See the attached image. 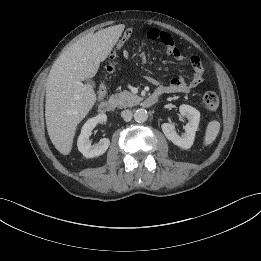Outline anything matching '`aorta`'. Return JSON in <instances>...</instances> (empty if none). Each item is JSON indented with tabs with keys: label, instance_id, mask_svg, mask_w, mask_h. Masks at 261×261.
Here are the masks:
<instances>
[{
	"label": "aorta",
	"instance_id": "762f6f07",
	"mask_svg": "<svg viewBox=\"0 0 261 261\" xmlns=\"http://www.w3.org/2000/svg\"><path fill=\"white\" fill-rule=\"evenodd\" d=\"M148 119V113L145 109H137L134 113V120L142 123Z\"/></svg>",
	"mask_w": 261,
	"mask_h": 261
}]
</instances>
